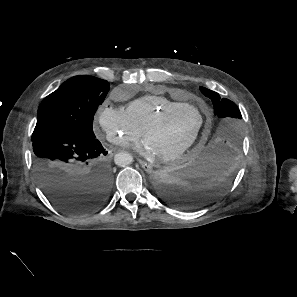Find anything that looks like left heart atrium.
Here are the masks:
<instances>
[{"instance_id": "1", "label": "left heart atrium", "mask_w": 297, "mask_h": 297, "mask_svg": "<svg viewBox=\"0 0 297 297\" xmlns=\"http://www.w3.org/2000/svg\"><path fill=\"white\" fill-rule=\"evenodd\" d=\"M137 150L145 156L154 157L157 155L152 146L146 140L137 146Z\"/></svg>"}]
</instances>
